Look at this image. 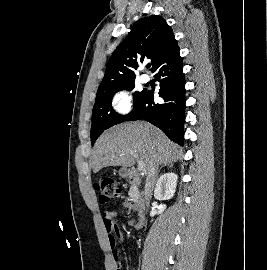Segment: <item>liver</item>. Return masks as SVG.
<instances>
[{"instance_id": "liver-1", "label": "liver", "mask_w": 267, "mask_h": 270, "mask_svg": "<svg viewBox=\"0 0 267 270\" xmlns=\"http://www.w3.org/2000/svg\"><path fill=\"white\" fill-rule=\"evenodd\" d=\"M182 148L170 141L166 135L146 122L122 123L102 134L94 146L93 172L107 166L131 167L138 156L149 171L154 162L172 163L181 159Z\"/></svg>"}]
</instances>
